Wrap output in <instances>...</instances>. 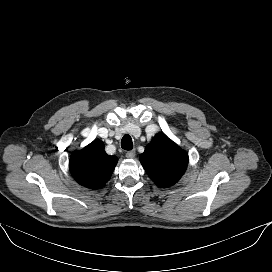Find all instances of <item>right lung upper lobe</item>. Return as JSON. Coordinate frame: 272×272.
<instances>
[{
	"instance_id": "right-lung-upper-lobe-1",
	"label": "right lung upper lobe",
	"mask_w": 272,
	"mask_h": 272,
	"mask_svg": "<svg viewBox=\"0 0 272 272\" xmlns=\"http://www.w3.org/2000/svg\"><path fill=\"white\" fill-rule=\"evenodd\" d=\"M117 161L116 156L106 154L102 141L94 140L82 150L75 151L71 155L69 168L79 184L98 189L110 179Z\"/></svg>"
}]
</instances>
